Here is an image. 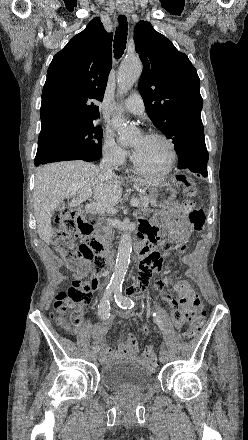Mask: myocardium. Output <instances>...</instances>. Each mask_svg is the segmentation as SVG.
Masks as SVG:
<instances>
[{
	"instance_id": "1",
	"label": "myocardium",
	"mask_w": 248,
	"mask_h": 440,
	"mask_svg": "<svg viewBox=\"0 0 248 440\" xmlns=\"http://www.w3.org/2000/svg\"><path fill=\"white\" fill-rule=\"evenodd\" d=\"M145 136L151 137V138H158L166 143V145L169 148V152H170L169 161H168L167 166L165 168H163L161 170L153 171V170L143 169L140 166H138L132 156L131 163H132L133 170L141 175L151 176V177H160V176L167 175L173 169L174 164L177 159V150H176L174 142L167 135H165L161 132H158V131L148 132Z\"/></svg>"
}]
</instances>
